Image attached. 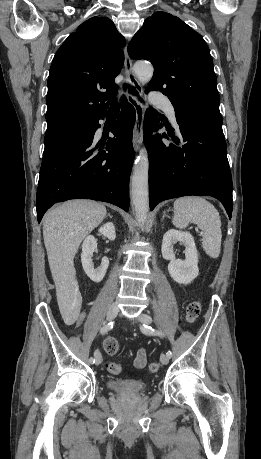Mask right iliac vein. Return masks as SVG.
Returning a JSON list of instances; mask_svg holds the SVG:
<instances>
[{"label": "right iliac vein", "mask_w": 261, "mask_h": 459, "mask_svg": "<svg viewBox=\"0 0 261 459\" xmlns=\"http://www.w3.org/2000/svg\"><path fill=\"white\" fill-rule=\"evenodd\" d=\"M119 313V307L116 304H112L107 312V319L108 320H113ZM102 362V356L99 351H97V354L95 356V364L99 365Z\"/></svg>", "instance_id": "1"}]
</instances>
